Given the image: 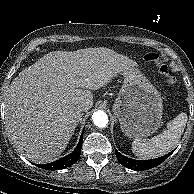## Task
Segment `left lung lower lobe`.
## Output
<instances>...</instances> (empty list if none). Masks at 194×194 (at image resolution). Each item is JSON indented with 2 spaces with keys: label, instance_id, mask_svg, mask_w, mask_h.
Listing matches in <instances>:
<instances>
[{
  "label": "left lung lower lobe",
  "instance_id": "0a47b994",
  "mask_svg": "<svg viewBox=\"0 0 194 194\" xmlns=\"http://www.w3.org/2000/svg\"><path fill=\"white\" fill-rule=\"evenodd\" d=\"M172 153L173 151L162 157L151 159V160H134L116 151V157L123 166L135 171H143V170H148L158 166Z\"/></svg>",
  "mask_w": 194,
  "mask_h": 194
}]
</instances>
